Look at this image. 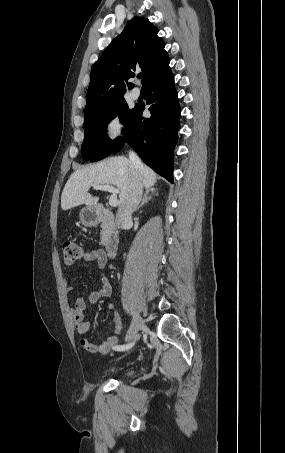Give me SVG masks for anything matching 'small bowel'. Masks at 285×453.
Masks as SVG:
<instances>
[{
    "label": "small bowel",
    "instance_id": "obj_1",
    "mask_svg": "<svg viewBox=\"0 0 285 453\" xmlns=\"http://www.w3.org/2000/svg\"><path fill=\"white\" fill-rule=\"evenodd\" d=\"M83 260L87 262L96 261L99 268H104L107 264V255L106 252L102 249H94L85 251L82 254ZM67 292L73 290L72 286L66 287ZM112 292V287L110 282L105 276L101 277V287L97 290L91 291L87 299L91 305L97 303L100 299L110 296ZM87 308L86 300L84 297H78L75 300L74 306L71 309V318L73 322L74 329L80 335H87L90 331V322L85 318L84 311ZM108 311L113 315V329L112 332L106 337V339L99 345L94 344L87 338L83 337L80 339L81 346L88 352L94 354L105 355L111 349L118 346V335L121 333L123 328V323L119 312L116 310L114 304H108Z\"/></svg>",
    "mask_w": 285,
    "mask_h": 453
}]
</instances>
